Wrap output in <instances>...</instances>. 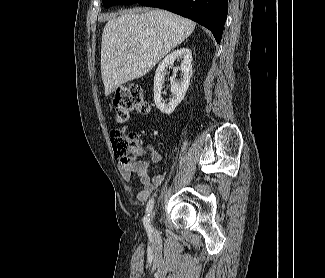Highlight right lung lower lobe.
<instances>
[{"instance_id": "1", "label": "right lung lower lobe", "mask_w": 325, "mask_h": 278, "mask_svg": "<svg viewBox=\"0 0 325 278\" xmlns=\"http://www.w3.org/2000/svg\"><path fill=\"white\" fill-rule=\"evenodd\" d=\"M141 5L158 7L192 19L208 28L220 43L228 12V0H137Z\"/></svg>"}]
</instances>
